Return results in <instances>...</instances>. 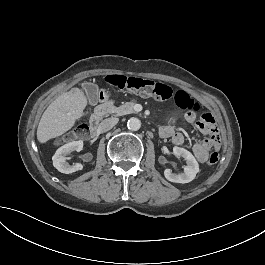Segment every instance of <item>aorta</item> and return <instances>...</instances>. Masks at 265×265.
I'll list each match as a JSON object with an SVG mask.
<instances>
[{
	"label": "aorta",
	"instance_id": "obj_1",
	"mask_svg": "<svg viewBox=\"0 0 265 265\" xmlns=\"http://www.w3.org/2000/svg\"><path fill=\"white\" fill-rule=\"evenodd\" d=\"M127 127L131 131H137L141 127V121L138 118L132 117L128 120Z\"/></svg>",
	"mask_w": 265,
	"mask_h": 265
}]
</instances>
